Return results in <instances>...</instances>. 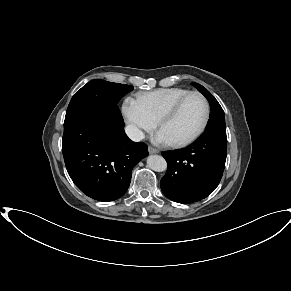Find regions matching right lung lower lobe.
Returning <instances> with one entry per match:
<instances>
[{"mask_svg":"<svg viewBox=\"0 0 291 291\" xmlns=\"http://www.w3.org/2000/svg\"><path fill=\"white\" fill-rule=\"evenodd\" d=\"M62 152L75 185L103 202L125 194L133 167L148 155L146 144L132 142L125 134L117 105L86 121L65 120Z\"/></svg>","mask_w":291,"mask_h":291,"instance_id":"98d812e1","label":"right lung lower lobe"}]
</instances>
